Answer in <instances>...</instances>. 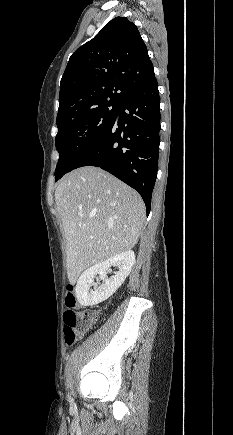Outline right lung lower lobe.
<instances>
[{
	"label": "right lung lower lobe",
	"instance_id": "98d812e1",
	"mask_svg": "<svg viewBox=\"0 0 233 435\" xmlns=\"http://www.w3.org/2000/svg\"><path fill=\"white\" fill-rule=\"evenodd\" d=\"M105 135L72 168L100 167L139 192L147 215L157 177L160 99L155 75L131 90ZM116 115V117H117Z\"/></svg>",
	"mask_w": 233,
	"mask_h": 435
}]
</instances>
